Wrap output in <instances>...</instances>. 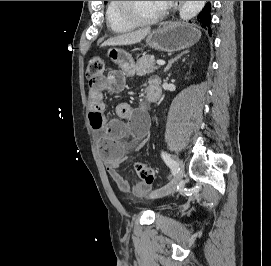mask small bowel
<instances>
[{
	"label": "small bowel",
	"mask_w": 271,
	"mask_h": 266,
	"mask_svg": "<svg viewBox=\"0 0 271 266\" xmlns=\"http://www.w3.org/2000/svg\"><path fill=\"white\" fill-rule=\"evenodd\" d=\"M125 87V78L118 69H110L107 74L90 78L88 119L92 128L100 132V151L106 168L119 189L144 195L148 192V184L139 182L133 187L119 173V166L125 161L127 144L123 141L128 135L136 140H143L149 133V122L143 115L134 117L133 108L125 102L116 105L119 119L107 120L104 115V91L120 92ZM144 107H140L142 112Z\"/></svg>",
	"instance_id": "c3829d8e"
}]
</instances>
